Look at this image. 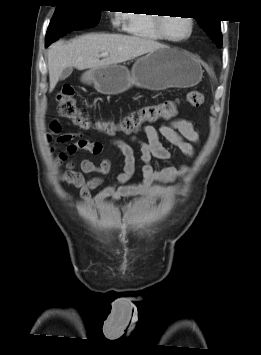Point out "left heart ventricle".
Wrapping results in <instances>:
<instances>
[{"mask_svg": "<svg viewBox=\"0 0 261 355\" xmlns=\"http://www.w3.org/2000/svg\"><path fill=\"white\" fill-rule=\"evenodd\" d=\"M165 32L171 38H182L188 35L190 26L185 17H170L166 18Z\"/></svg>", "mask_w": 261, "mask_h": 355, "instance_id": "obj_1", "label": "left heart ventricle"}]
</instances>
